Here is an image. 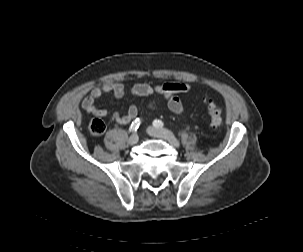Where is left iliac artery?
<instances>
[{"mask_svg": "<svg viewBox=\"0 0 303 252\" xmlns=\"http://www.w3.org/2000/svg\"><path fill=\"white\" fill-rule=\"evenodd\" d=\"M153 125H154V127L159 128V127H162L164 124L161 120H154Z\"/></svg>", "mask_w": 303, "mask_h": 252, "instance_id": "1", "label": "left iliac artery"}]
</instances>
